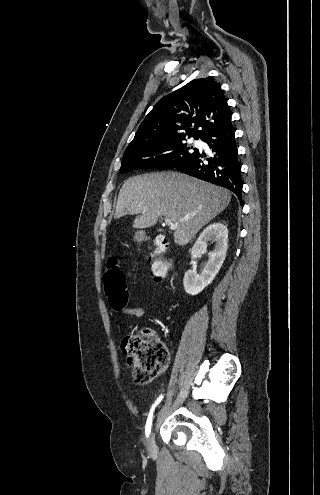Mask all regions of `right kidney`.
Segmentation results:
<instances>
[{"label": "right kidney", "mask_w": 320, "mask_h": 495, "mask_svg": "<svg viewBox=\"0 0 320 495\" xmlns=\"http://www.w3.org/2000/svg\"><path fill=\"white\" fill-rule=\"evenodd\" d=\"M214 243L215 248L209 252V259L205 265L201 275H198L194 270L189 269L184 276L183 285L185 292L190 295H196L204 290L215 279L221 269L227 249H228V229L222 223H213L207 226L200 234L192 248V259L201 257L206 253L208 243Z\"/></svg>", "instance_id": "ca27d5eb"}]
</instances>
